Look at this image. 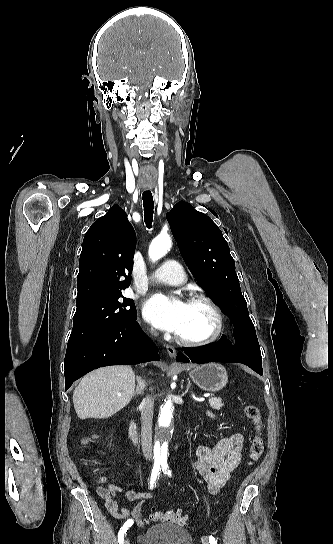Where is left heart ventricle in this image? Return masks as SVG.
Listing matches in <instances>:
<instances>
[{
    "label": "left heart ventricle",
    "mask_w": 333,
    "mask_h": 544,
    "mask_svg": "<svg viewBox=\"0 0 333 544\" xmlns=\"http://www.w3.org/2000/svg\"><path fill=\"white\" fill-rule=\"evenodd\" d=\"M215 327V317L203 303H187L182 326L178 335L187 339L209 336Z\"/></svg>",
    "instance_id": "b2bd125f"
}]
</instances>
